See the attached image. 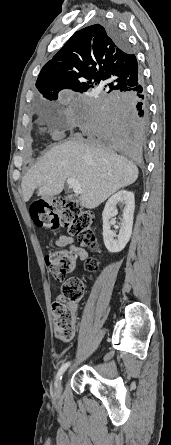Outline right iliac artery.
Listing matches in <instances>:
<instances>
[{"label":"right iliac artery","instance_id":"right-iliac-artery-1","mask_svg":"<svg viewBox=\"0 0 171 445\" xmlns=\"http://www.w3.org/2000/svg\"><path fill=\"white\" fill-rule=\"evenodd\" d=\"M69 365H70V362H67L60 367V369L57 373V377H56V382H55L56 386H57V382L62 378L63 373L69 367Z\"/></svg>","mask_w":171,"mask_h":445}]
</instances>
